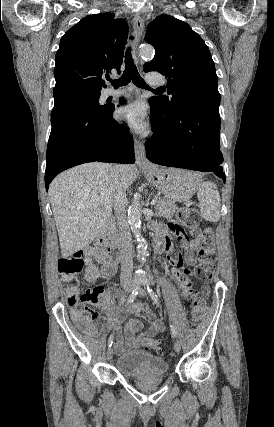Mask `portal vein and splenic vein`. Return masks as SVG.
<instances>
[{"label": "portal vein and splenic vein", "instance_id": "obj_1", "mask_svg": "<svg viewBox=\"0 0 274 427\" xmlns=\"http://www.w3.org/2000/svg\"><path fill=\"white\" fill-rule=\"evenodd\" d=\"M155 202H156V200H155ZM155 202H151V204H155Z\"/></svg>", "mask_w": 274, "mask_h": 427}]
</instances>
